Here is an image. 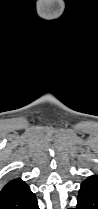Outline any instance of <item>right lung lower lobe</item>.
Here are the masks:
<instances>
[{
  "instance_id": "obj_1",
  "label": "right lung lower lobe",
  "mask_w": 98,
  "mask_h": 209,
  "mask_svg": "<svg viewBox=\"0 0 98 209\" xmlns=\"http://www.w3.org/2000/svg\"><path fill=\"white\" fill-rule=\"evenodd\" d=\"M0 209H39L37 199L28 186L0 205Z\"/></svg>"
}]
</instances>
